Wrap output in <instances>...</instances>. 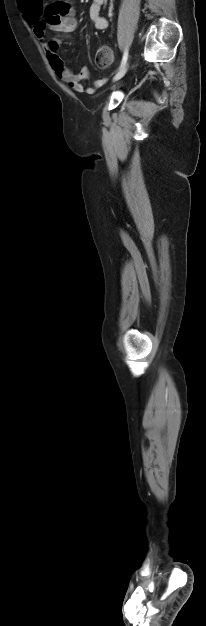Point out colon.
Masks as SVG:
<instances>
[{
    "label": "colon",
    "mask_w": 206,
    "mask_h": 626,
    "mask_svg": "<svg viewBox=\"0 0 206 626\" xmlns=\"http://www.w3.org/2000/svg\"><path fill=\"white\" fill-rule=\"evenodd\" d=\"M113 59L112 50L109 46L103 45L99 48L96 55V63L101 68L108 67Z\"/></svg>",
    "instance_id": "1"
}]
</instances>
